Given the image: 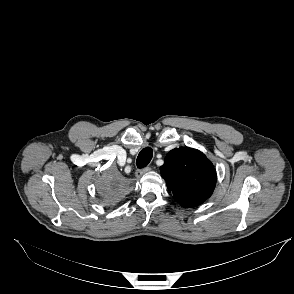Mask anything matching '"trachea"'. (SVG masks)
I'll return each mask as SVG.
<instances>
[{"instance_id":"1","label":"trachea","mask_w":294,"mask_h":294,"mask_svg":"<svg viewBox=\"0 0 294 294\" xmlns=\"http://www.w3.org/2000/svg\"><path fill=\"white\" fill-rule=\"evenodd\" d=\"M152 156H153V151L151 148L146 147L143 150H141V152L139 153L137 157V162H136L137 167L138 168L146 167L151 161Z\"/></svg>"}]
</instances>
